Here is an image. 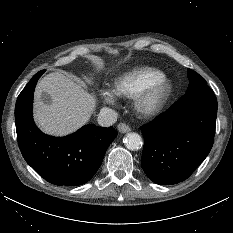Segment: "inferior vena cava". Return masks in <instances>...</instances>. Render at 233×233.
<instances>
[{
    "instance_id": "obj_1",
    "label": "inferior vena cava",
    "mask_w": 233,
    "mask_h": 233,
    "mask_svg": "<svg viewBox=\"0 0 233 233\" xmlns=\"http://www.w3.org/2000/svg\"><path fill=\"white\" fill-rule=\"evenodd\" d=\"M117 118L118 114L116 111L104 107L98 114V123L103 127H109L117 121Z\"/></svg>"
}]
</instances>
